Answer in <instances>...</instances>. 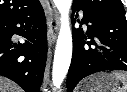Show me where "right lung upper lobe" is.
<instances>
[{
	"label": "right lung upper lobe",
	"instance_id": "obj_1",
	"mask_svg": "<svg viewBox=\"0 0 127 92\" xmlns=\"http://www.w3.org/2000/svg\"><path fill=\"white\" fill-rule=\"evenodd\" d=\"M38 0H0V21L34 10Z\"/></svg>",
	"mask_w": 127,
	"mask_h": 92
}]
</instances>
